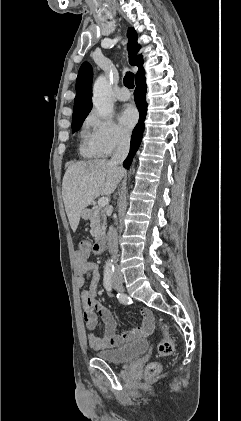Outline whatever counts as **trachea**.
I'll list each match as a JSON object with an SVG mask.
<instances>
[{
  "instance_id": "trachea-1",
  "label": "trachea",
  "mask_w": 241,
  "mask_h": 421,
  "mask_svg": "<svg viewBox=\"0 0 241 421\" xmlns=\"http://www.w3.org/2000/svg\"><path fill=\"white\" fill-rule=\"evenodd\" d=\"M124 85L129 88H134V74L131 72H127L124 79H123Z\"/></svg>"
}]
</instances>
